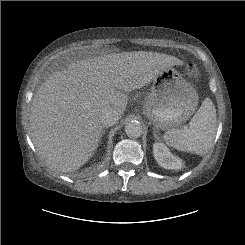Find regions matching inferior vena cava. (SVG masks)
<instances>
[{
  "instance_id": "inferior-vena-cava-1",
  "label": "inferior vena cava",
  "mask_w": 245,
  "mask_h": 245,
  "mask_svg": "<svg viewBox=\"0 0 245 245\" xmlns=\"http://www.w3.org/2000/svg\"><path fill=\"white\" fill-rule=\"evenodd\" d=\"M99 118L102 125L108 127L115 125L120 117L115 109L104 107L100 110Z\"/></svg>"
}]
</instances>
